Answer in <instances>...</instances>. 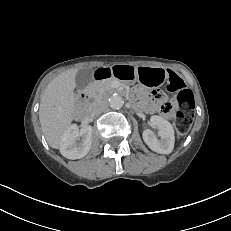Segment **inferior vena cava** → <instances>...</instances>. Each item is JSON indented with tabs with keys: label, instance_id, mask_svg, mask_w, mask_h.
<instances>
[{
	"label": "inferior vena cava",
	"instance_id": "obj_1",
	"mask_svg": "<svg viewBox=\"0 0 231 231\" xmlns=\"http://www.w3.org/2000/svg\"><path fill=\"white\" fill-rule=\"evenodd\" d=\"M106 108V104L105 103H100L98 105L95 106V108L93 109L92 114L93 115H99L100 113H102Z\"/></svg>",
	"mask_w": 231,
	"mask_h": 231
}]
</instances>
